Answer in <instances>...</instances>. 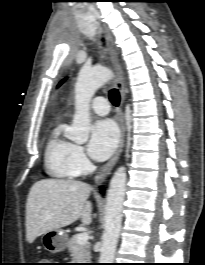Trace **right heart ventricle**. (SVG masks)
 <instances>
[{
    "label": "right heart ventricle",
    "instance_id": "1",
    "mask_svg": "<svg viewBox=\"0 0 205 265\" xmlns=\"http://www.w3.org/2000/svg\"><path fill=\"white\" fill-rule=\"evenodd\" d=\"M64 124L58 123L50 132L44 150L46 172L54 178L72 179L78 175L73 163L75 144L64 135Z\"/></svg>",
    "mask_w": 205,
    "mask_h": 265
}]
</instances>
